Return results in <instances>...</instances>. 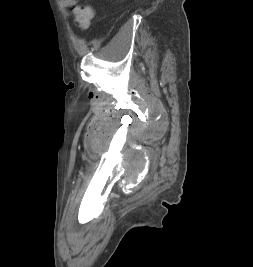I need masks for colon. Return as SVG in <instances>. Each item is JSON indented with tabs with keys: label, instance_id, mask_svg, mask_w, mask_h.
<instances>
[{
	"label": "colon",
	"instance_id": "colon-1",
	"mask_svg": "<svg viewBox=\"0 0 253 267\" xmlns=\"http://www.w3.org/2000/svg\"><path fill=\"white\" fill-rule=\"evenodd\" d=\"M74 15V21L77 27L81 30H87L92 22L94 13L89 6H76L72 9Z\"/></svg>",
	"mask_w": 253,
	"mask_h": 267
}]
</instances>
